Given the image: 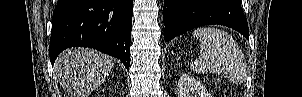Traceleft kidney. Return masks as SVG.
Here are the masks:
<instances>
[{
    "mask_svg": "<svg viewBox=\"0 0 302 97\" xmlns=\"http://www.w3.org/2000/svg\"><path fill=\"white\" fill-rule=\"evenodd\" d=\"M178 97H212L206 87L191 75L182 74L177 85Z\"/></svg>",
    "mask_w": 302,
    "mask_h": 97,
    "instance_id": "5707ae66",
    "label": "left kidney"
}]
</instances>
